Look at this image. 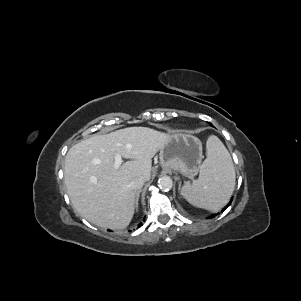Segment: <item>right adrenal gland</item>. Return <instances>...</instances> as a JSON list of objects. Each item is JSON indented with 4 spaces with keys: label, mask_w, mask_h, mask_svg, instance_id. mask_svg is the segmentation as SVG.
I'll return each mask as SVG.
<instances>
[{
    "label": "right adrenal gland",
    "mask_w": 301,
    "mask_h": 301,
    "mask_svg": "<svg viewBox=\"0 0 301 301\" xmlns=\"http://www.w3.org/2000/svg\"><path fill=\"white\" fill-rule=\"evenodd\" d=\"M140 192H141V190H138L135 193V207H136V210H138V201H139Z\"/></svg>",
    "instance_id": "obj_1"
}]
</instances>
